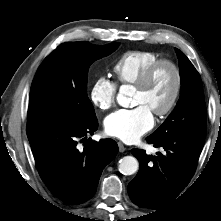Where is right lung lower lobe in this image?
<instances>
[{
	"instance_id": "1",
	"label": "right lung lower lobe",
	"mask_w": 221,
	"mask_h": 221,
	"mask_svg": "<svg viewBox=\"0 0 221 221\" xmlns=\"http://www.w3.org/2000/svg\"><path fill=\"white\" fill-rule=\"evenodd\" d=\"M98 127L90 122H70L55 117H41L27 124V136L38 172L50 189L67 204H81L96 192L103 168L117 154L112 139L85 140ZM84 143L81 148L78 143Z\"/></svg>"
}]
</instances>
